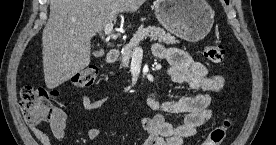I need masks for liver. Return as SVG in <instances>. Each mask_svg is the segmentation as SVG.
<instances>
[{"label": "liver", "mask_w": 276, "mask_h": 145, "mask_svg": "<svg viewBox=\"0 0 276 145\" xmlns=\"http://www.w3.org/2000/svg\"><path fill=\"white\" fill-rule=\"evenodd\" d=\"M145 0H51L42 34L45 84L53 89L90 63L91 38L120 12H135Z\"/></svg>", "instance_id": "liver-1"}]
</instances>
